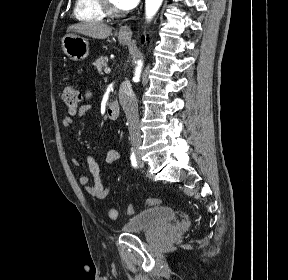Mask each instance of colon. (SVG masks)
Returning <instances> with one entry per match:
<instances>
[{
	"label": "colon",
	"mask_w": 288,
	"mask_h": 280,
	"mask_svg": "<svg viewBox=\"0 0 288 280\" xmlns=\"http://www.w3.org/2000/svg\"><path fill=\"white\" fill-rule=\"evenodd\" d=\"M62 102L63 104L69 109L70 112L75 113L78 109V106L80 104L81 96L78 92V90L71 84L68 83L63 91H62ZM161 203V200L157 197L146 199L142 205L143 206H155L159 205ZM138 210V205L136 204H130L127 207V213L132 215L135 214ZM108 215L111 219H116L118 216V212L115 208H110L108 211Z\"/></svg>",
	"instance_id": "obj_1"
}]
</instances>
